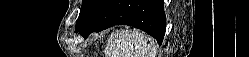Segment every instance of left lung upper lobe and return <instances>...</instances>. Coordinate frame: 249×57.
I'll return each mask as SVG.
<instances>
[{
  "instance_id": "1",
  "label": "left lung upper lobe",
  "mask_w": 249,
  "mask_h": 57,
  "mask_svg": "<svg viewBox=\"0 0 249 57\" xmlns=\"http://www.w3.org/2000/svg\"><path fill=\"white\" fill-rule=\"evenodd\" d=\"M106 1L107 0H82V6L76 28L93 17Z\"/></svg>"
}]
</instances>
